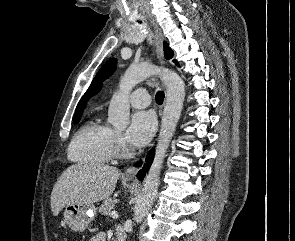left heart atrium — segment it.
I'll return each mask as SVG.
<instances>
[{
	"mask_svg": "<svg viewBox=\"0 0 295 241\" xmlns=\"http://www.w3.org/2000/svg\"><path fill=\"white\" fill-rule=\"evenodd\" d=\"M156 121L150 112H137L133 115L129 128L125 133V141L135 148L145 146L152 138Z\"/></svg>",
	"mask_w": 295,
	"mask_h": 241,
	"instance_id": "obj_1",
	"label": "left heart atrium"
}]
</instances>
